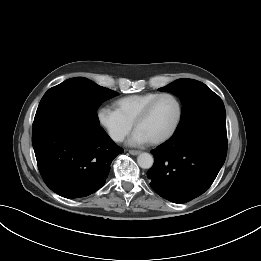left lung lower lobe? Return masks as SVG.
I'll return each instance as SVG.
<instances>
[{
	"mask_svg": "<svg viewBox=\"0 0 261 261\" xmlns=\"http://www.w3.org/2000/svg\"><path fill=\"white\" fill-rule=\"evenodd\" d=\"M151 152L155 162L147 177L152 189L174 203L191 201L211 186L224 164L226 120L173 135Z\"/></svg>",
	"mask_w": 261,
	"mask_h": 261,
	"instance_id": "1",
	"label": "left lung lower lobe"
}]
</instances>
